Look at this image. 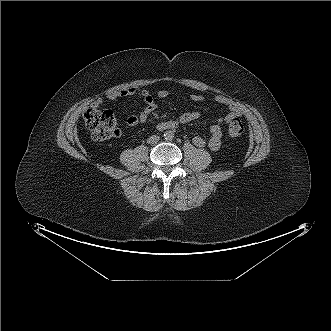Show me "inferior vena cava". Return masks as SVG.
<instances>
[{"label": "inferior vena cava", "instance_id": "obj_1", "mask_svg": "<svg viewBox=\"0 0 331 331\" xmlns=\"http://www.w3.org/2000/svg\"><path fill=\"white\" fill-rule=\"evenodd\" d=\"M160 140V137L157 135H152L148 138V143L155 144Z\"/></svg>", "mask_w": 331, "mask_h": 331}]
</instances>
